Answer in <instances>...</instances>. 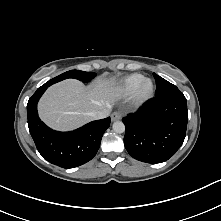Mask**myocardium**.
I'll use <instances>...</instances> for the list:
<instances>
[{"label":"myocardium","instance_id":"myocardium-1","mask_svg":"<svg viewBox=\"0 0 221 221\" xmlns=\"http://www.w3.org/2000/svg\"><path fill=\"white\" fill-rule=\"evenodd\" d=\"M155 87L150 79H143L133 93L134 102L141 105L147 102L153 96Z\"/></svg>","mask_w":221,"mask_h":221}]
</instances>
